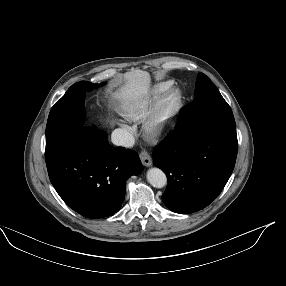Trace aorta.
<instances>
[{"instance_id":"1","label":"aorta","mask_w":286,"mask_h":286,"mask_svg":"<svg viewBox=\"0 0 286 286\" xmlns=\"http://www.w3.org/2000/svg\"><path fill=\"white\" fill-rule=\"evenodd\" d=\"M148 182L155 188H163L167 184L165 173L159 168H151L147 172Z\"/></svg>"}]
</instances>
